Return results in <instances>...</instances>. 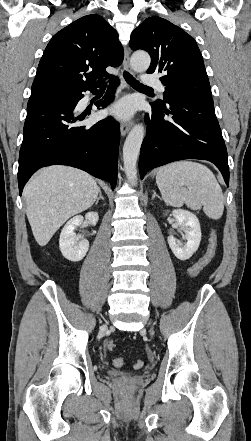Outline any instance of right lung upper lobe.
I'll return each instance as SVG.
<instances>
[{"label":"right lung upper lobe","mask_w":251,"mask_h":441,"mask_svg":"<svg viewBox=\"0 0 251 441\" xmlns=\"http://www.w3.org/2000/svg\"><path fill=\"white\" fill-rule=\"evenodd\" d=\"M123 58L116 30L100 15L84 16L60 30L48 43L31 96L97 87L108 76L106 67L119 66Z\"/></svg>","instance_id":"right-lung-upper-lobe-1"}]
</instances>
